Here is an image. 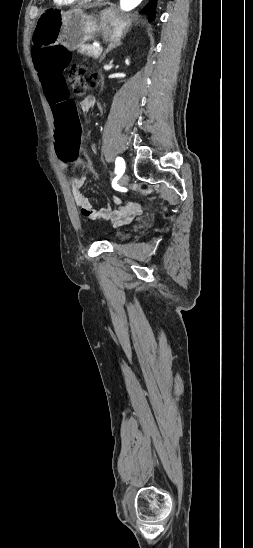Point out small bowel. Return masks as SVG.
<instances>
[{"label": "small bowel", "mask_w": 253, "mask_h": 548, "mask_svg": "<svg viewBox=\"0 0 253 548\" xmlns=\"http://www.w3.org/2000/svg\"><path fill=\"white\" fill-rule=\"evenodd\" d=\"M68 64V61H66ZM48 96H46V99ZM95 105V97L93 95L86 96L80 102V109L82 111H89ZM51 107V105H50ZM62 168H66L68 164H64L65 160L58 159ZM72 194L77 206L81 208V213L89 218H103L110 220L116 225H122L128 223L133 217L141 212V205L138 202L130 201L123 203L119 198H114L112 207L109 209L94 210L90 200L83 194L82 187L85 183V176L71 177L70 178Z\"/></svg>", "instance_id": "1"}]
</instances>
